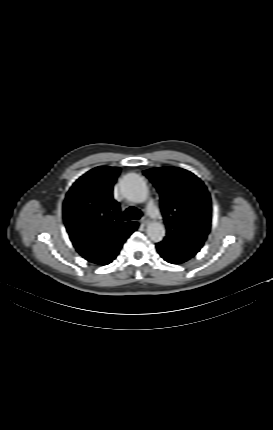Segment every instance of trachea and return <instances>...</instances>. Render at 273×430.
<instances>
[{"label":"trachea","mask_w":273,"mask_h":430,"mask_svg":"<svg viewBox=\"0 0 273 430\" xmlns=\"http://www.w3.org/2000/svg\"><path fill=\"white\" fill-rule=\"evenodd\" d=\"M142 216V213L139 209L136 207H129L124 212V219L125 220H137Z\"/></svg>","instance_id":"1"}]
</instances>
